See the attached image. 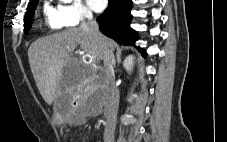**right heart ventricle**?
<instances>
[{"instance_id":"e07e8e85","label":"right heart ventricle","mask_w":227,"mask_h":142,"mask_svg":"<svg viewBox=\"0 0 227 142\" xmlns=\"http://www.w3.org/2000/svg\"><path fill=\"white\" fill-rule=\"evenodd\" d=\"M42 13L44 25L51 31H58L66 26L61 19L59 9L54 7L49 1L43 3Z\"/></svg>"}]
</instances>
